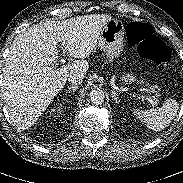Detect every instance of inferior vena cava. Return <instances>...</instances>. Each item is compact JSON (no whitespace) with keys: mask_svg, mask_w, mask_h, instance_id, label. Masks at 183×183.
I'll list each match as a JSON object with an SVG mask.
<instances>
[{"mask_svg":"<svg viewBox=\"0 0 183 183\" xmlns=\"http://www.w3.org/2000/svg\"><path fill=\"white\" fill-rule=\"evenodd\" d=\"M68 81L72 84V85H79L82 83L83 81V75L82 74H79V73H74L72 75H70L68 77Z\"/></svg>","mask_w":183,"mask_h":183,"instance_id":"602c4592","label":"inferior vena cava"}]
</instances>
